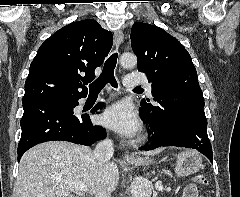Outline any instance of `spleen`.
<instances>
[{"label": "spleen", "instance_id": "3e777b00", "mask_svg": "<svg viewBox=\"0 0 240 197\" xmlns=\"http://www.w3.org/2000/svg\"><path fill=\"white\" fill-rule=\"evenodd\" d=\"M149 195H150V189H148L146 192V196H149Z\"/></svg>", "mask_w": 240, "mask_h": 197}]
</instances>
